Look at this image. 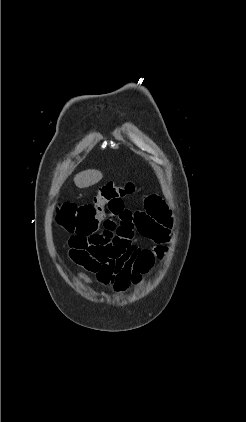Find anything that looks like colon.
<instances>
[{
	"mask_svg": "<svg viewBox=\"0 0 246 422\" xmlns=\"http://www.w3.org/2000/svg\"><path fill=\"white\" fill-rule=\"evenodd\" d=\"M134 191L135 185L131 181L124 184L108 182L99 189L90 203H60L57 207V223L70 233L89 235L100 227L111 208L116 211L121 209L123 198ZM162 255L163 252L159 248L140 250L133 263L132 283L137 284L152 268L155 259L161 258Z\"/></svg>",
	"mask_w": 246,
	"mask_h": 422,
	"instance_id": "colon-1",
	"label": "colon"
}]
</instances>
